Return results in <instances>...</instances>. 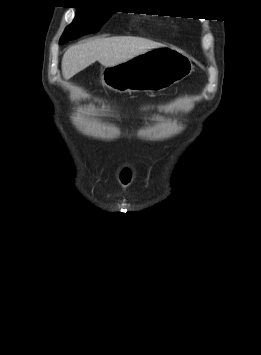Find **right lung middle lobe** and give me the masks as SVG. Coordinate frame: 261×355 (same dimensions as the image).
<instances>
[{
	"label": "right lung middle lobe",
	"mask_w": 261,
	"mask_h": 355,
	"mask_svg": "<svg viewBox=\"0 0 261 355\" xmlns=\"http://www.w3.org/2000/svg\"><path fill=\"white\" fill-rule=\"evenodd\" d=\"M111 14L112 11L77 8L73 22L65 29L60 40L75 39L82 35L96 32Z\"/></svg>",
	"instance_id": "1"
}]
</instances>
